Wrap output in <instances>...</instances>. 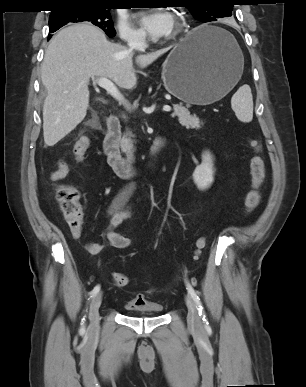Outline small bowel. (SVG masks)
Here are the masks:
<instances>
[{"label":"small bowel","mask_w":306,"mask_h":387,"mask_svg":"<svg viewBox=\"0 0 306 387\" xmlns=\"http://www.w3.org/2000/svg\"><path fill=\"white\" fill-rule=\"evenodd\" d=\"M56 167L57 168L49 174V180L52 182H57L64 179L69 173L68 164L63 159H58L56 161ZM127 196L128 191L121 192L109 206L107 212L109 223L106 231V238L109 245L117 249H126L131 246V240L129 238L114 231V228H116L131 215V211L126 207ZM102 247V244L93 241H90L86 244V248L91 254L99 253ZM144 302L145 300L143 297L137 296L128 302V305L131 307H136L142 305Z\"/></svg>","instance_id":"obj_1"}]
</instances>
